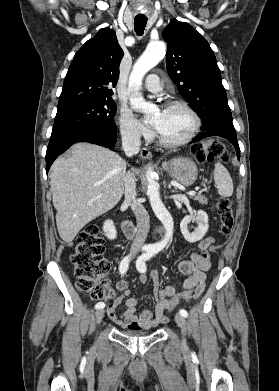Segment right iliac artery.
I'll use <instances>...</instances> for the list:
<instances>
[{"mask_svg":"<svg viewBox=\"0 0 279 391\" xmlns=\"http://www.w3.org/2000/svg\"><path fill=\"white\" fill-rule=\"evenodd\" d=\"M143 250H146L143 248ZM129 262H130V255L126 256L120 263L119 266V271L121 274H125L126 271L128 270L129 267ZM105 307V304L103 302H99L95 305L96 309H103Z\"/></svg>","mask_w":279,"mask_h":391,"instance_id":"82829eb1","label":"right iliac artery"}]
</instances>
